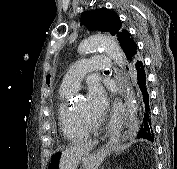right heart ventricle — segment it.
<instances>
[{"instance_id":"right-heart-ventricle-1","label":"right heart ventricle","mask_w":177,"mask_h":169,"mask_svg":"<svg viewBox=\"0 0 177 169\" xmlns=\"http://www.w3.org/2000/svg\"><path fill=\"white\" fill-rule=\"evenodd\" d=\"M75 92L61 89L59 94L58 121L62 135L68 141H80L88 136L77 123L73 110L68 107V101Z\"/></svg>"}]
</instances>
